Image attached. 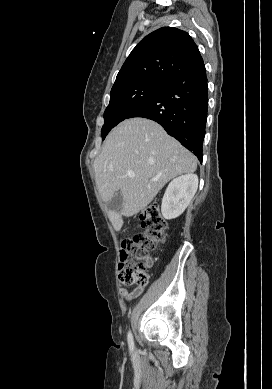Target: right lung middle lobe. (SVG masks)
Instances as JSON below:
<instances>
[{
	"label": "right lung middle lobe",
	"instance_id": "obj_1",
	"mask_svg": "<svg viewBox=\"0 0 272 389\" xmlns=\"http://www.w3.org/2000/svg\"><path fill=\"white\" fill-rule=\"evenodd\" d=\"M166 83L154 80H141L121 85L111 89L110 102L104 112V125L102 139L104 140L110 130L141 103L161 90Z\"/></svg>",
	"mask_w": 272,
	"mask_h": 389
}]
</instances>
